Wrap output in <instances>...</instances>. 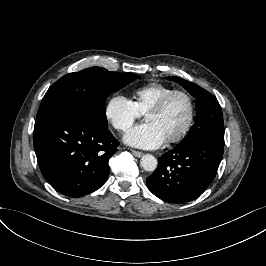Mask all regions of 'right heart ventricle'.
<instances>
[{"instance_id":"1","label":"right heart ventricle","mask_w":266,"mask_h":266,"mask_svg":"<svg viewBox=\"0 0 266 266\" xmlns=\"http://www.w3.org/2000/svg\"><path fill=\"white\" fill-rule=\"evenodd\" d=\"M171 90L174 88L162 83H149L136 87L132 91V101L140 113H145L150 106Z\"/></svg>"}]
</instances>
